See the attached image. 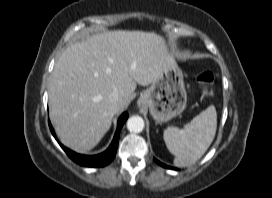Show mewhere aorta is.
I'll return each instance as SVG.
<instances>
[{"label":"aorta","instance_id":"1","mask_svg":"<svg viewBox=\"0 0 272 198\" xmlns=\"http://www.w3.org/2000/svg\"><path fill=\"white\" fill-rule=\"evenodd\" d=\"M127 128L130 132L140 133L144 129V120L139 116H132L127 121Z\"/></svg>","mask_w":272,"mask_h":198}]
</instances>
